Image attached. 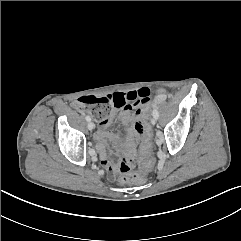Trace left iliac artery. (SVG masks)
Returning <instances> with one entry per match:
<instances>
[{
    "label": "left iliac artery",
    "mask_w": 241,
    "mask_h": 241,
    "mask_svg": "<svg viewBox=\"0 0 241 241\" xmlns=\"http://www.w3.org/2000/svg\"><path fill=\"white\" fill-rule=\"evenodd\" d=\"M153 116L155 117V118H158L159 117V113H158V110H157V107L155 106L154 107V110H153Z\"/></svg>",
    "instance_id": "1"
}]
</instances>
